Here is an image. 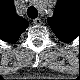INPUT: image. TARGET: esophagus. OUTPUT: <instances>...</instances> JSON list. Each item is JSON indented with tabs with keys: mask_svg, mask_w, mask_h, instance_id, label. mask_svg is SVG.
<instances>
[{
	"mask_svg": "<svg viewBox=\"0 0 80 80\" xmlns=\"http://www.w3.org/2000/svg\"><path fill=\"white\" fill-rule=\"evenodd\" d=\"M34 24L36 25H41L42 24V20L40 18H36L33 20Z\"/></svg>",
	"mask_w": 80,
	"mask_h": 80,
	"instance_id": "obj_1",
	"label": "esophagus"
}]
</instances>
